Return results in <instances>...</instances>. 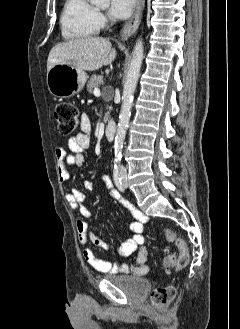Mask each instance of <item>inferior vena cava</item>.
<instances>
[{
    "instance_id": "obj_1",
    "label": "inferior vena cava",
    "mask_w": 240,
    "mask_h": 329,
    "mask_svg": "<svg viewBox=\"0 0 240 329\" xmlns=\"http://www.w3.org/2000/svg\"><path fill=\"white\" fill-rule=\"evenodd\" d=\"M120 174H126V168L124 166H120L119 168Z\"/></svg>"
}]
</instances>
